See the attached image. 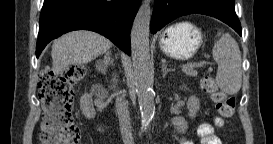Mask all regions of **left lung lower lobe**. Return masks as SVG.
Wrapping results in <instances>:
<instances>
[{"label":"left lung lower lobe","instance_id":"1","mask_svg":"<svg viewBox=\"0 0 273 144\" xmlns=\"http://www.w3.org/2000/svg\"><path fill=\"white\" fill-rule=\"evenodd\" d=\"M193 13L215 17L241 36L240 21L235 13V0H154L150 30L154 34L172 20Z\"/></svg>","mask_w":273,"mask_h":144}]
</instances>
